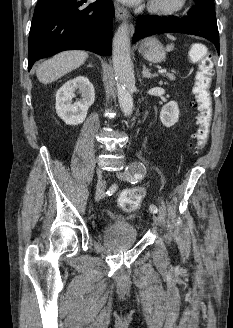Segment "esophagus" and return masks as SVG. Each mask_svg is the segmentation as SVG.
<instances>
[{"label":"esophagus","mask_w":233,"mask_h":328,"mask_svg":"<svg viewBox=\"0 0 233 328\" xmlns=\"http://www.w3.org/2000/svg\"><path fill=\"white\" fill-rule=\"evenodd\" d=\"M114 8H115V15L117 19L123 20L128 18V11L124 7L120 6L118 3H115ZM131 31H133L132 26H131Z\"/></svg>","instance_id":"1"}]
</instances>
